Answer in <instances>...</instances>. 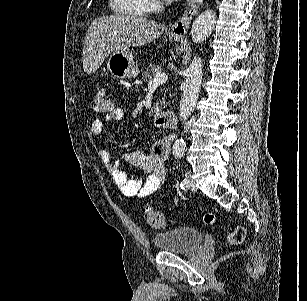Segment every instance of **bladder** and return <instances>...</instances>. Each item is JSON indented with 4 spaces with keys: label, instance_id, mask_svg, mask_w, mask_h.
<instances>
[{
    "label": "bladder",
    "instance_id": "1",
    "mask_svg": "<svg viewBox=\"0 0 307 301\" xmlns=\"http://www.w3.org/2000/svg\"><path fill=\"white\" fill-rule=\"evenodd\" d=\"M153 241L161 251L191 252L204 241V234L194 228L181 227L155 235Z\"/></svg>",
    "mask_w": 307,
    "mask_h": 301
}]
</instances>
